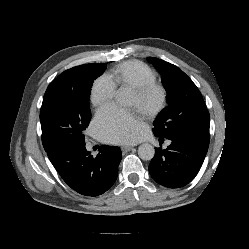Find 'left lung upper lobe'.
I'll use <instances>...</instances> for the list:
<instances>
[{
    "instance_id": "obj_1",
    "label": "left lung upper lobe",
    "mask_w": 249,
    "mask_h": 249,
    "mask_svg": "<svg viewBox=\"0 0 249 249\" xmlns=\"http://www.w3.org/2000/svg\"><path fill=\"white\" fill-rule=\"evenodd\" d=\"M148 61L161 74L168 103L154 122V135L167 139L193 137L209 140L210 115L193 81L173 64L152 57Z\"/></svg>"
}]
</instances>
